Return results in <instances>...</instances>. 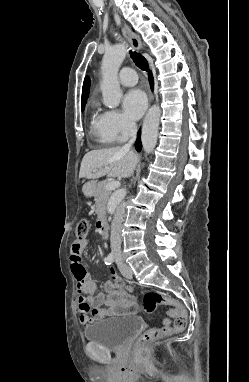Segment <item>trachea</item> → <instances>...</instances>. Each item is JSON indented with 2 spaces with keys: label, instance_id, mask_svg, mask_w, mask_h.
<instances>
[{
  "label": "trachea",
  "instance_id": "1",
  "mask_svg": "<svg viewBox=\"0 0 249 382\" xmlns=\"http://www.w3.org/2000/svg\"><path fill=\"white\" fill-rule=\"evenodd\" d=\"M131 58L135 62V64L141 69V70H148V62L147 60L139 53L137 52H130Z\"/></svg>",
  "mask_w": 249,
  "mask_h": 382
}]
</instances>
